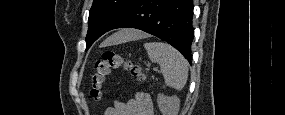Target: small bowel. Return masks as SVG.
Listing matches in <instances>:
<instances>
[{"label": "small bowel", "mask_w": 285, "mask_h": 115, "mask_svg": "<svg viewBox=\"0 0 285 115\" xmlns=\"http://www.w3.org/2000/svg\"><path fill=\"white\" fill-rule=\"evenodd\" d=\"M151 96L145 92H137L135 97L126 102L115 101L108 107L104 115H153Z\"/></svg>", "instance_id": "1"}]
</instances>
